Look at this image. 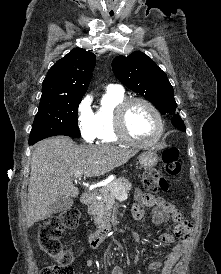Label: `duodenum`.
<instances>
[{"label": "duodenum", "instance_id": "410a0bca", "mask_svg": "<svg viewBox=\"0 0 221 274\" xmlns=\"http://www.w3.org/2000/svg\"><path fill=\"white\" fill-rule=\"evenodd\" d=\"M93 199V192L85 191L80 196V201L82 204H89ZM111 234V227L108 224H104L97 230L89 233L88 243L90 247L96 248L101 245Z\"/></svg>", "mask_w": 221, "mask_h": 274}]
</instances>
